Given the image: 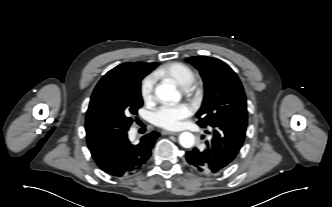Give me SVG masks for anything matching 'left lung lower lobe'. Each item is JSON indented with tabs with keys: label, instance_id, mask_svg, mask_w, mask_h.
Listing matches in <instances>:
<instances>
[{
	"label": "left lung lower lobe",
	"instance_id": "left-lung-lower-lobe-1",
	"mask_svg": "<svg viewBox=\"0 0 332 207\" xmlns=\"http://www.w3.org/2000/svg\"><path fill=\"white\" fill-rule=\"evenodd\" d=\"M211 140L205 147L186 153L187 162L197 172L214 175L224 171L236 158L245 139L246 127L241 125H217L209 127Z\"/></svg>",
	"mask_w": 332,
	"mask_h": 207
}]
</instances>
